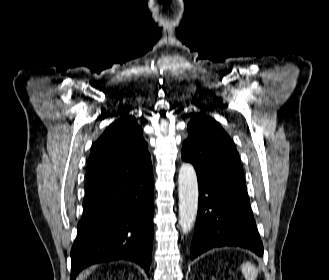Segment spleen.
I'll use <instances>...</instances> for the list:
<instances>
[{
	"instance_id": "obj_1",
	"label": "spleen",
	"mask_w": 329,
	"mask_h": 280,
	"mask_svg": "<svg viewBox=\"0 0 329 280\" xmlns=\"http://www.w3.org/2000/svg\"><path fill=\"white\" fill-rule=\"evenodd\" d=\"M241 271L246 280H256L258 272L253 264L249 262L243 263Z\"/></svg>"
}]
</instances>
